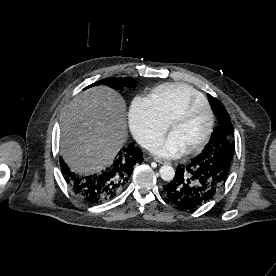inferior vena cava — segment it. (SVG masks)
<instances>
[{
    "label": "inferior vena cava",
    "mask_w": 276,
    "mask_h": 276,
    "mask_svg": "<svg viewBox=\"0 0 276 276\" xmlns=\"http://www.w3.org/2000/svg\"><path fill=\"white\" fill-rule=\"evenodd\" d=\"M144 147L147 148V149H152V148H155L157 147V144H154L152 141L150 140H146L144 142Z\"/></svg>",
    "instance_id": "602c4592"
}]
</instances>
